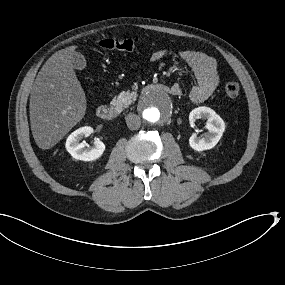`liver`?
<instances>
[{
    "instance_id": "obj_1",
    "label": "liver",
    "mask_w": 285,
    "mask_h": 285,
    "mask_svg": "<svg viewBox=\"0 0 285 285\" xmlns=\"http://www.w3.org/2000/svg\"><path fill=\"white\" fill-rule=\"evenodd\" d=\"M77 46L54 53L38 73L30 96L33 138L43 150L56 145L85 115V92L73 69Z\"/></svg>"
}]
</instances>
